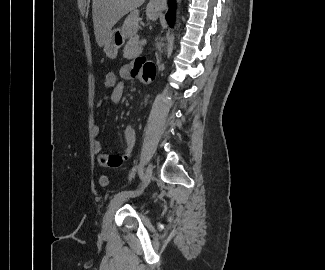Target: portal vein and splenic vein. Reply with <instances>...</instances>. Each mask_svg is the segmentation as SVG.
Here are the masks:
<instances>
[{"instance_id": "portal-vein-and-splenic-vein-1", "label": "portal vein and splenic vein", "mask_w": 325, "mask_h": 270, "mask_svg": "<svg viewBox=\"0 0 325 270\" xmlns=\"http://www.w3.org/2000/svg\"><path fill=\"white\" fill-rule=\"evenodd\" d=\"M146 44V40H142V42H141V45H145Z\"/></svg>"}]
</instances>
